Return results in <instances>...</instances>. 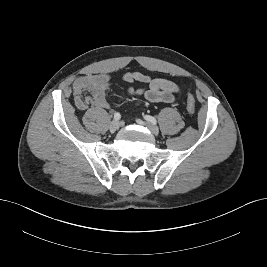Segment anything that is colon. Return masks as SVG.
<instances>
[{
    "mask_svg": "<svg viewBox=\"0 0 267 267\" xmlns=\"http://www.w3.org/2000/svg\"><path fill=\"white\" fill-rule=\"evenodd\" d=\"M187 111L192 115L195 113V100L191 94L187 96Z\"/></svg>",
    "mask_w": 267,
    "mask_h": 267,
    "instance_id": "colon-1",
    "label": "colon"
}]
</instances>
